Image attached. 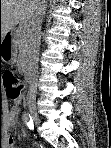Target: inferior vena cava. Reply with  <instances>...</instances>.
<instances>
[{"label": "inferior vena cava", "instance_id": "inferior-vena-cava-1", "mask_svg": "<svg viewBox=\"0 0 111 148\" xmlns=\"http://www.w3.org/2000/svg\"><path fill=\"white\" fill-rule=\"evenodd\" d=\"M46 0H38L37 7L33 13L30 21V51H31V60L33 68H36L38 62V55L40 49V40H41V25L43 21V15L45 14L46 9ZM28 100H34L36 98V85H35V72L33 73L32 82L30 83L28 95Z\"/></svg>", "mask_w": 111, "mask_h": 148}]
</instances>
